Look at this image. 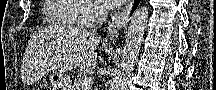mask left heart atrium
Instances as JSON below:
<instances>
[{
  "mask_svg": "<svg viewBox=\"0 0 216 90\" xmlns=\"http://www.w3.org/2000/svg\"><path fill=\"white\" fill-rule=\"evenodd\" d=\"M124 0H97V3H100V7H103L104 10H113L114 7H121V3Z\"/></svg>",
  "mask_w": 216,
  "mask_h": 90,
  "instance_id": "obj_1",
  "label": "left heart atrium"
}]
</instances>
